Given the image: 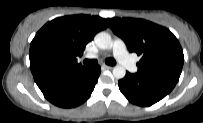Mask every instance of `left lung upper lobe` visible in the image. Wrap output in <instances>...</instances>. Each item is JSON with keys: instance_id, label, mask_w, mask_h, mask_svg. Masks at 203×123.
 <instances>
[{"instance_id": "obj_1", "label": "left lung upper lobe", "mask_w": 203, "mask_h": 123, "mask_svg": "<svg viewBox=\"0 0 203 123\" xmlns=\"http://www.w3.org/2000/svg\"><path fill=\"white\" fill-rule=\"evenodd\" d=\"M112 31L121 37L130 52L141 56L137 63L142 75L178 82L183 62V50L167 28L143 19H107Z\"/></svg>"}]
</instances>
